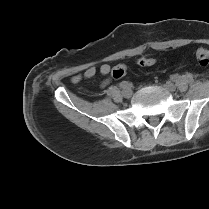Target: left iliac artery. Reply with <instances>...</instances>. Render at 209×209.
I'll use <instances>...</instances> for the list:
<instances>
[{"mask_svg": "<svg viewBox=\"0 0 209 209\" xmlns=\"http://www.w3.org/2000/svg\"><path fill=\"white\" fill-rule=\"evenodd\" d=\"M171 80L174 82V83H177L180 81V75L179 74H174L173 76H171Z\"/></svg>", "mask_w": 209, "mask_h": 209, "instance_id": "44dca946", "label": "left iliac artery"}]
</instances>
